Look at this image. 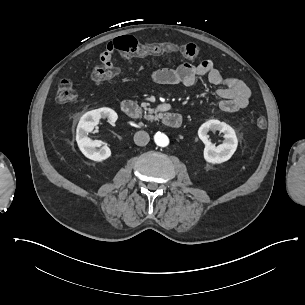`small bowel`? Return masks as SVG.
Instances as JSON below:
<instances>
[{
    "label": "small bowel",
    "mask_w": 305,
    "mask_h": 305,
    "mask_svg": "<svg viewBox=\"0 0 305 305\" xmlns=\"http://www.w3.org/2000/svg\"><path fill=\"white\" fill-rule=\"evenodd\" d=\"M102 63H113L116 48L107 42L101 48ZM153 82L161 85L192 86L198 78L206 77L214 85H221L217 95L221 99L218 108L226 112H236L245 108L251 96L248 85L234 77H224L211 60H203L198 64H181L176 68H161L151 72Z\"/></svg>",
    "instance_id": "small-bowel-1"
}]
</instances>
